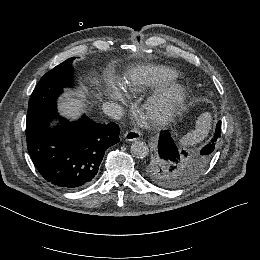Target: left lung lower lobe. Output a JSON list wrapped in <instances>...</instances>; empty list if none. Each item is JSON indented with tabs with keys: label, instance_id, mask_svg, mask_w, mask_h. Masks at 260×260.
Instances as JSON below:
<instances>
[{
	"label": "left lung lower lobe",
	"instance_id": "left-lung-lower-lobe-1",
	"mask_svg": "<svg viewBox=\"0 0 260 260\" xmlns=\"http://www.w3.org/2000/svg\"><path fill=\"white\" fill-rule=\"evenodd\" d=\"M221 134V122L217 123L214 138L201 150L204 153H213L215 149V142ZM158 152L163 159L166 160H177L183 155H187L185 151H180L175 145L174 141L170 137L167 130L161 133L158 145Z\"/></svg>",
	"mask_w": 260,
	"mask_h": 260
}]
</instances>
